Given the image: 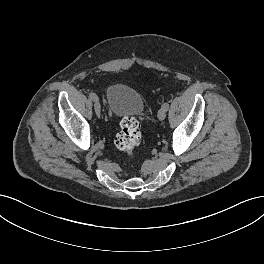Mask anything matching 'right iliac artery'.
Listing matches in <instances>:
<instances>
[{"label":"right iliac artery","instance_id":"82829eb1","mask_svg":"<svg viewBox=\"0 0 264 264\" xmlns=\"http://www.w3.org/2000/svg\"><path fill=\"white\" fill-rule=\"evenodd\" d=\"M89 96H90V98L92 99V100H98V96L95 94V93H90L89 94Z\"/></svg>","mask_w":264,"mask_h":264}]
</instances>
